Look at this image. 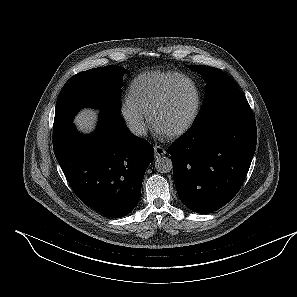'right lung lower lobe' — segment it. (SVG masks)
I'll list each match as a JSON object with an SVG mask.
<instances>
[{"mask_svg":"<svg viewBox=\"0 0 297 297\" xmlns=\"http://www.w3.org/2000/svg\"><path fill=\"white\" fill-rule=\"evenodd\" d=\"M53 145L63 173L84 204L112 218L135 208L154 151L131 134L120 114L101 111L91 135H81L71 124Z\"/></svg>","mask_w":297,"mask_h":297,"instance_id":"1","label":"right lung lower lobe"}]
</instances>
